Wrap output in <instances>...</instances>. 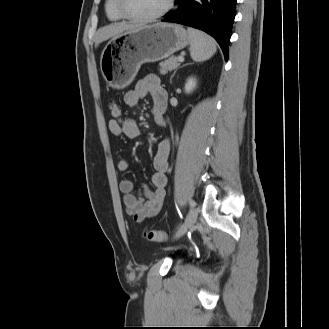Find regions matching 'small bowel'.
<instances>
[{"mask_svg": "<svg viewBox=\"0 0 329 329\" xmlns=\"http://www.w3.org/2000/svg\"><path fill=\"white\" fill-rule=\"evenodd\" d=\"M150 97L152 101V113L154 121L158 125H165V111L167 107V92L161 86L159 78L148 75L141 80L133 90L124 95V102L128 107H135L139 101ZM109 131L115 136L124 135L130 139H137L141 135V130L137 122L132 118H112L108 123ZM170 141L163 140L159 143L154 156L155 172L151 176L154 191L146 187L141 188L139 194L133 192L134 185L129 179L120 182V190L123 193V202L126 212L133 217L136 222H143L147 218L153 217L160 210L167 184L166 171L169 166ZM116 168L120 172L129 169V161L125 157H120L116 163Z\"/></svg>", "mask_w": 329, "mask_h": 329, "instance_id": "obj_1", "label": "small bowel"}]
</instances>
